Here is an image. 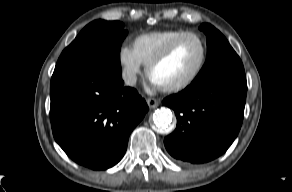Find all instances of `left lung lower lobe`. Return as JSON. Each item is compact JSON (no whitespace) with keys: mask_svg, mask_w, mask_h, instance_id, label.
Masks as SVG:
<instances>
[{"mask_svg":"<svg viewBox=\"0 0 292 192\" xmlns=\"http://www.w3.org/2000/svg\"><path fill=\"white\" fill-rule=\"evenodd\" d=\"M246 93V76L230 74L192 82L165 98L177 116L175 131L164 139L170 155L194 164L222 155L241 128Z\"/></svg>","mask_w":292,"mask_h":192,"instance_id":"left-lung-lower-lobe-1","label":"left lung lower lobe"}]
</instances>
